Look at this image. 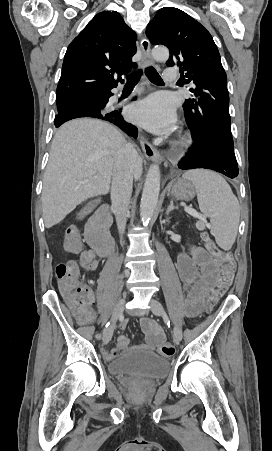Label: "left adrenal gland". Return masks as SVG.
<instances>
[{
	"instance_id": "a2214340",
	"label": "left adrenal gland",
	"mask_w": 272,
	"mask_h": 451,
	"mask_svg": "<svg viewBox=\"0 0 272 451\" xmlns=\"http://www.w3.org/2000/svg\"><path fill=\"white\" fill-rule=\"evenodd\" d=\"M172 210H178V206H173V200H171L170 206H169V208H167V210H166L167 216H168L169 212H172Z\"/></svg>"
}]
</instances>
